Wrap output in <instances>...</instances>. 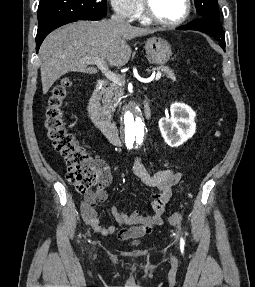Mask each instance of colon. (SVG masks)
Wrapping results in <instances>:
<instances>
[{
	"mask_svg": "<svg viewBox=\"0 0 255 287\" xmlns=\"http://www.w3.org/2000/svg\"><path fill=\"white\" fill-rule=\"evenodd\" d=\"M70 84L68 79H63L53 87L44 113V128L54 149L67 164V181L84 194L97 184L100 167L65 126L64 105ZM181 221V212L168 217L171 225H178Z\"/></svg>",
	"mask_w": 255,
	"mask_h": 287,
	"instance_id": "1",
	"label": "colon"
}]
</instances>
